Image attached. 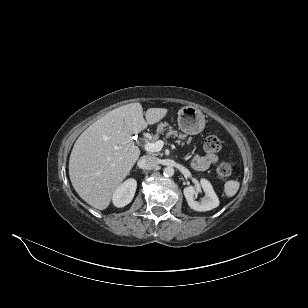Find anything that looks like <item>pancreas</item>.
I'll return each instance as SVG.
<instances>
[{"mask_svg":"<svg viewBox=\"0 0 308 308\" xmlns=\"http://www.w3.org/2000/svg\"><path fill=\"white\" fill-rule=\"evenodd\" d=\"M166 129H168L167 133H166V137H170V136H175L178 137L179 139H184L185 135L182 134H178L177 130L173 129V127H171L168 123H160L157 126V132L154 136H152V142H156L159 139V134H162L166 131ZM176 143L180 144V140H177Z\"/></svg>","mask_w":308,"mask_h":308,"instance_id":"1","label":"pancreas"}]
</instances>
